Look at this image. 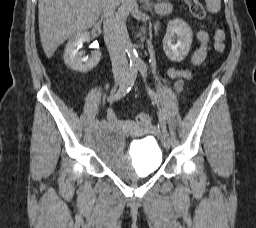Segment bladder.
<instances>
[{"label": "bladder", "mask_w": 256, "mask_h": 228, "mask_svg": "<svg viewBox=\"0 0 256 228\" xmlns=\"http://www.w3.org/2000/svg\"><path fill=\"white\" fill-rule=\"evenodd\" d=\"M90 146L106 167L121 179L150 176L162 165V151L154 139L135 141L130 154L126 155L122 133L111 126L96 130Z\"/></svg>", "instance_id": "1"}]
</instances>
